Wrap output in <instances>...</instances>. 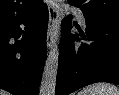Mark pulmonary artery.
Here are the masks:
<instances>
[{
    "mask_svg": "<svg viewBox=\"0 0 119 95\" xmlns=\"http://www.w3.org/2000/svg\"><path fill=\"white\" fill-rule=\"evenodd\" d=\"M74 11H75V13H76V15H77V17H78L80 23H81L83 26H85V25H86V21H85V17H84V15H83V13H82L80 10H78V9H75Z\"/></svg>",
    "mask_w": 119,
    "mask_h": 95,
    "instance_id": "pulmonary-artery-1",
    "label": "pulmonary artery"
}]
</instances>
